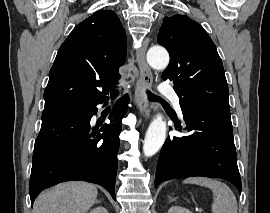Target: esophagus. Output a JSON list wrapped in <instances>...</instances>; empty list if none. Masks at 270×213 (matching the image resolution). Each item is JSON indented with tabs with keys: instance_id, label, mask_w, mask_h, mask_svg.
I'll return each mask as SVG.
<instances>
[{
	"instance_id": "esophagus-1",
	"label": "esophagus",
	"mask_w": 270,
	"mask_h": 213,
	"mask_svg": "<svg viewBox=\"0 0 270 213\" xmlns=\"http://www.w3.org/2000/svg\"><path fill=\"white\" fill-rule=\"evenodd\" d=\"M149 44V38L143 41L142 47L136 50V60L139 67L140 75L138 85L135 90V100L141 114L150 113V105L146 94L147 89L152 86V73L145 60V52Z\"/></svg>"
}]
</instances>
